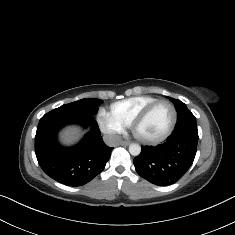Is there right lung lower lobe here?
I'll return each instance as SVG.
<instances>
[{
	"mask_svg": "<svg viewBox=\"0 0 235 235\" xmlns=\"http://www.w3.org/2000/svg\"><path fill=\"white\" fill-rule=\"evenodd\" d=\"M89 128L83 140L73 147L57 142L58 131L67 124ZM93 115L62 113L56 109L39 121L35 153L42 170L52 179L70 186H82L97 176L106 165L113 148L108 147Z\"/></svg>",
	"mask_w": 235,
	"mask_h": 235,
	"instance_id": "obj_1",
	"label": "right lung lower lobe"
}]
</instances>
